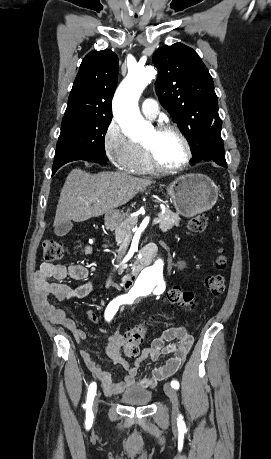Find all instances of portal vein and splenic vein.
Instances as JSON below:
<instances>
[{
  "mask_svg": "<svg viewBox=\"0 0 271 459\" xmlns=\"http://www.w3.org/2000/svg\"><path fill=\"white\" fill-rule=\"evenodd\" d=\"M153 220H154V221L152 222L153 224H159V223H160V220L156 221V220H157L156 218H154Z\"/></svg>",
  "mask_w": 271,
  "mask_h": 459,
  "instance_id": "18ae733b",
  "label": "portal vein and splenic vein"
}]
</instances>
